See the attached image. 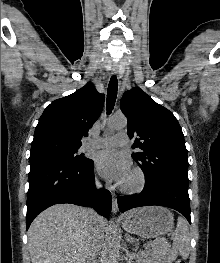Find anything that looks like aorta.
I'll list each match as a JSON object with an SVG mask.
<instances>
[{"label": "aorta", "mask_w": 220, "mask_h": 263, "mask_svg": "<svg viewBox=\"0 0 220 263\" xmlns=\"http://www.w3.org/2000/svg\"><path fill=\"white\" fill-rule=\"evenodd\" d=\"M127 126V120L124 116H115L109 122V128L113 130L123 129ZM107 244L111 257H116L119 253L120 242L118 237V228L116 224L111 221L107 231Z\"/></svg>", "instance_id": "762f6f07"}]
</instances>
